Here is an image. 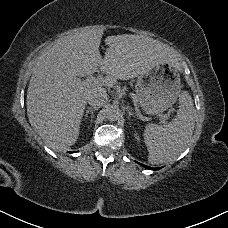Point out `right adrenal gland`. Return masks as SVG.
<instances>
[{
	"label": "right adrenal gland",
	"instance_id": "2a0ac1e0",
	"mask_svg": "<svg viewBox=\"0 0 228 228\" xmlns=\"http://www.w3.org/2000/svg\"><path fill=\"white\" fill-rule=\"evenodd\" d=\"M98 110V108H91V107H88L85 114H84V118H83V121H85L88 117V114L90 113L91 114V120L90 122L92 123L93 122V118H94V111Z\"/></svg>",
	"mask_w": 228,
	"mask_h": 228
}]
</instances>
